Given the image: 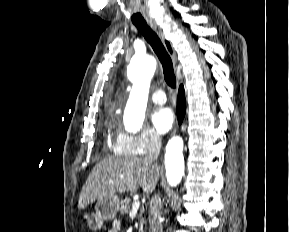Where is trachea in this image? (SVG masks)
I'll return each mask as SVG.
<instances>
[{"label": "trachea", "mask_w": 289, "mask_h": 232, "mask_svg": "<svg viewBox=\"0 0 289 232\" xmlns=\"http://www.w3.org/2000/svg\"><path fill=\"white\" fill-rule=\"evenodd\" d=\"M135 26L144 36L146 41L151 45L157 57L159 58L163 67L164 79L167 85L171 88H175L176 77L173 69V63L161 40L147 24H135Z\"/></svg>", "instance_id": "3493384b"}]
</instances>
